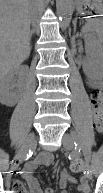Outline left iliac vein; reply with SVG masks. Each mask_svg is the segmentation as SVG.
<instances>
[{
  "mask_svg": "<svg viewBox=\"0 0 103 193\" xmlns=\"http://www.w3.org/2000/svg\"><path fill=\"white\" fill-rule=\"evenodd\" d=\"M62 142H63V147L65 150H72L74 147V140L72 138V136L70 134H64L63 138H62ZM84 169L88 175L89 178L92 177V172L90 169V166L87 162H84Z\"/></svg>",
  "mask_w": 103,
  "mask_h": 193,
  "instance_id": "1",
  "label": "left iliac vein"
}]
</instances>
